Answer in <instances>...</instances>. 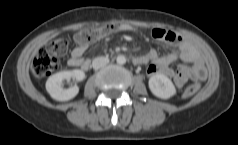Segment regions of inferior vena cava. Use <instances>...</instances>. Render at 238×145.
I'll use <instances>...</instances> for the list:
<instances>
[{
	"instance_id": "inferior-vena-cava-1",
	"label": "inferior vena cava",
	"mask_w": 238,
	"mask_h": 145,
	"mask_svg": "<svg viewBox=\"0 0 238 145\" xmlns=\"http://www.w3.org/2000/svg\"><path fill=\"white\" fill-rule=\"evenodd\" d=\"M109 63V58L107 57H96L92 61V67L95 70H98Z\"/></svg>"
}]
</instances>
